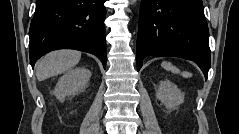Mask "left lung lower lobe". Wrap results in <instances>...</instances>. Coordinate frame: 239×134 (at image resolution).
Masks as SVG:
<instances>
[{
  "mask_svg": "<svg viewBox=\"0 0 239 134\" xmlns=\"http://www.w3.org/2000/svg\"><path fill=\"white\" fill-rule=\"evenodd\" d=\"M146 56L192 60L207 78L209 32L202 0H141L136 64Z\"/></svg>",
  "mask_w": 239,
  "mask_h": 134,
  "instance_id": "obj_1",
  "label": "left lung lower lobe"
}]
</instances>
